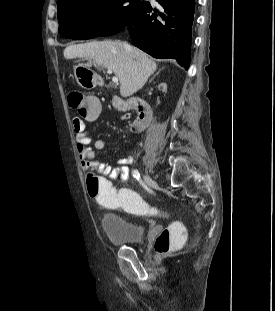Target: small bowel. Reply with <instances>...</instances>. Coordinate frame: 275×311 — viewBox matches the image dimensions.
<instances>
[{"label":"small bowel","mask_w":275,"mask_h":311,"mask_svg":"<svg viewBox=\"0 0 275 311\" xmlns=\"http://www.w3.org/2000/svg\"><path fill=\"white\" fill-rule=\"evenodd\" d=\"M73 129L76 133L78 158L85 175H105V178H111V180L119 179L122 183L127 181L129 177L127 165L132 163V158L130 156L118 160L117 166L115 167H112L104 161L96 160L94 149L103 150L106 146L105 140H95L92 147V138L85 129L84 121H80L79 118L73 120Z\"/></svg>","instance_id":"small-bowel-1"}]
</instances>
